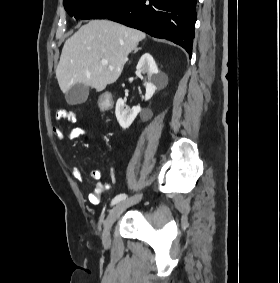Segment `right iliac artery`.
I'll return each mask as SVG.
<instances>
[{"label":"right iliac artery","instance_id":"obj_1","mask_svg":"<svg viewBox=\"0 0 280 283\" xmlns=\"http://www.w3.org/2000/svg\"><path fill=\"white\" fill-rule=\"evenodd\" d=\"M126 197H127V195L124 194V193L115 196V197L113 198L112 202H111V205L113 206V205L119 203L120 201L125 200Z\"/></svg>","mask_w":280,"mask_h":283}]
</instances>
